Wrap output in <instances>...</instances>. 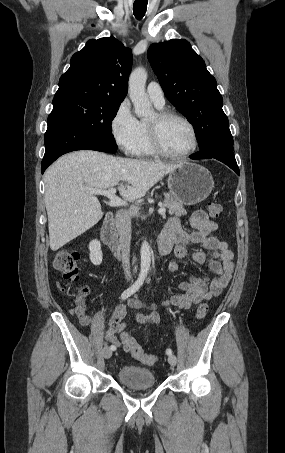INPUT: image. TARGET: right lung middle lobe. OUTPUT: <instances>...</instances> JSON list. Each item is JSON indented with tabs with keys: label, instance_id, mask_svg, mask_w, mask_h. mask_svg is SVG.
Instances as JSON below:
<instances>
[{
	"label": "right lung middle lobe",
	"instance_id": "right-lung-middle-lobe-1",
	"mask_svg": "<svg viewBox=\"0 0 285 453\" xmlns=\"http://www.w3.org/2000/svg\"><path fill=\"white\" fill-rule=\"evenodd\" d=\"M122 101L103 97H68L53 100L51 113L62 115L100 143L117 148L112 120Z\"/></svg>",
	"mask_w": 285,
	"mask_h": 453
}]
</instances>
